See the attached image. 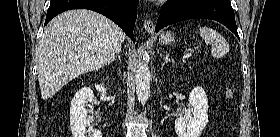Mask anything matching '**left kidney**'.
Returning a JSON list of instances; mask_svg holds the SVG:
<instances>
[{"instance_id":"left-kidney-1","label":"left kidney","mask_w":280,"mask_h":137,"mask_svg":"<svg viewBox=\"0 0 280 137\" xmlns=\"http://www.w3.org/2000/svg\"><path fill=\"white\" fill-rule=\"evenodd\" d=\"M193 106L192 117L184 116L175 120L178 137H199L208 123V99L202 87H194L189 95Z\"/></svg>"}]
</instances>
